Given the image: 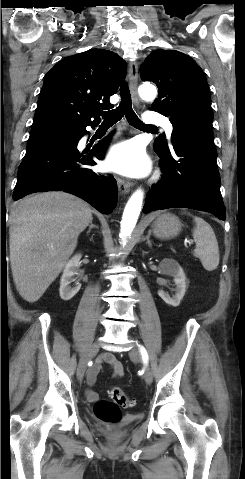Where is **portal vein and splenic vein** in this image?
<instances>
[{"label": "portal vein and splenic vein", "instance_id": "portal-vein-and-splenic-vein-1", "mask_svg": "<svg viewBox=\"0 0 245 479\" xmlns=\"http://www.w3.org/2000/svg\"><path fill=\"white\" fill-rule=\"evenodd\" d=\"M189 245H191L193 242L192 241H187Z\"/></svg>", "mask_w": 245, "mask_h": 479}]
</instances>
